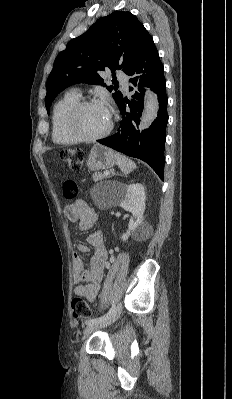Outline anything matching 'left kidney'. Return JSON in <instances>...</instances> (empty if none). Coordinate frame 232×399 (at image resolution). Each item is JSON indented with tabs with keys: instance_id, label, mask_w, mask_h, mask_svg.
Here are the masks:
<instances>
[{
	"instance_id": "obj_1",
	"label": "left kidney",
	"mask_w": 232,
	"mask_h": 399,
	"mask_svg": "<svg viewBox=\"0 0 232 399\" xmlns=\"http://www.w3.org/2000/svg\"><path fill=\"white\" fill-rule=\"evenodd\" d=\"M121 200L120 205L126 211H131L132 217L128 223L126 233L121 235L125 241L129 235L134 239H146L148 235V223H145L143 213L145 211V192L142 184H120Z\"/></svg>"
}]
</instances>
